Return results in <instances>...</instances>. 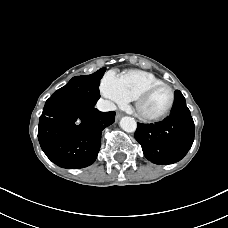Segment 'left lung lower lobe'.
I'll list each match as a JSON object with an SVG mask.
<instances>
[{
  "label": "left lung lower lobe",
  "mask_w": 228,
  "mask_h": 228,
  "mask_svg": "<svg viewBox=\"0 0 228 228\" xmlns=\"http://www.w3.org/2000/svg\"><path fill=\"white\" fill-rule=\"evenodd\" d=\"M134 137L145 157L155 164L181 160L194 141V122L182 93L175 91L170 116L155 124H138Z\"/></svg>",
  "instance_id": "left-lung-lower-lobe-1"
}]
</instances>
